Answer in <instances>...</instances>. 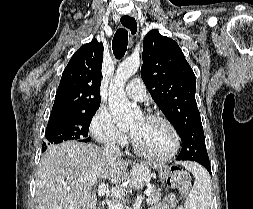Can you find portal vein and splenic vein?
Returning a JSON list of instances; mask_svg holds the SVG:
<instances>
[{
    "instance_id": "18ae733b",
    "label": "portal vein and splenic vein",
    "mask_w": 253,
    "mask_h": 209,
    "mask_svg": "<svg viewBox=\"0 0 253 209\" xmlns=\"http://www.w3.org/2000/svg\"><path fill=\"white\" fill-rule=\"evenodd\" d=\"M107 189H108V187L105 184H100L99 187H98V195L99 196L105 195ZM151 191H152V187H148L145 190V194L150 195ZM106 202H107V205H108L109 209H123V205L120 204V203H115V202H112L110 200H107Z\"/></svg>"
}]
</instances>
